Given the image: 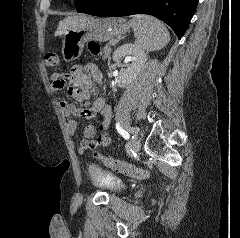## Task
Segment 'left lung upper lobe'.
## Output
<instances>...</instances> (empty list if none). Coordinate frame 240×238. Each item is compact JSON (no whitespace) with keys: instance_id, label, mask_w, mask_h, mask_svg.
Here are the masks:
<instances>
[{"instance_id":"obj_1","label":"left lung upper lobe","mask_w":240,"mask_h":238,"mask_svg":"<svg viewBox=\"0 0 240 238\" xmlns=\"http://www.w3.org/2000/svg\"><path fill=\"white\" fill-rule=\"evenodd\" d=\"M97 1L98 0H77V11L82 12L94 5Z\"/></svg>"}]
</instances>
